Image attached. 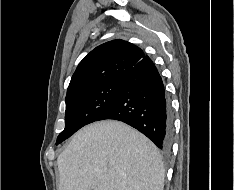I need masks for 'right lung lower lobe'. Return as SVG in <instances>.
I'll list each match as a JSON object with an SVG mask.
<instances>
[{
  "label": "right lung lower lobe",
  "mask_w": 234,
  "mask_h": 190,
  "mask_svg": "<svg viewBox=\"0 0 234 190\" xmlns=\"http://www.w3.org/2000/svg\"><path fill=\"white\" fill-rule=\"evenodd\" d=\"M105 119L122 121L142 132L162 151L170 149L171 107L162 78L148 56L123 77L115 102L98 121Z\"/></svg>",
  "instance_id": "1"
}]
</instances>
